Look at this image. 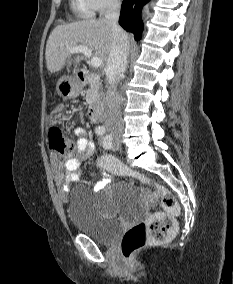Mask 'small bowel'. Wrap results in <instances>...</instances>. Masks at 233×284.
Returning <instances> with one entry per match:
<instances>
[{"label":"small bowel","mask_w":233,"mask_h":284,"mask_svg":"<svg viewBox=\"0 0 233 284\" xmlns=\"http://www.w3.org/2000/svg\"><path fill=\"white\" fill-rule=\"evenodd\" d=\"M73 134L78 138L76 151L66 155L64 162H60L55 157L52 161L54 181L62 192L68 190L70 183L79 180L81 164L95 153L94 141L87 135L84 128L74 127ZM108 180V176L104 175L95 185V189L99 190L104 187Z\"/></svg>","instance_id":"obj_1"}]
</instances>
